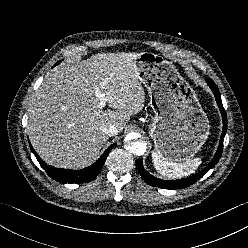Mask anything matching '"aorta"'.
I'll return each mask as SVG.
<instances>
[{
	"label": "aorta",
	"mask_w": 248,
	"mask_h": 248,
	"mask_svg": "<svg viewBox=\"0 0 248 248\" xmlns=\"http://www.w3.org/2000/svg\"><path fill=\"white\" fill-rule=\"evenodd\" d=\"M137 138L136 133L129 134L125 147L129 153L141 156L146 152L147 144L137 140Z\"/></svg>",
	"instance_id": "1"
}]
</instances>
